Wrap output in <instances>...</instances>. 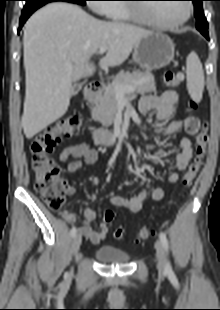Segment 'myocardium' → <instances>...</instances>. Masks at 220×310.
Masks as SVG:
<instances>
[{"label": "myocardium", "instance_id": "myocardium-1", "mask_svg": "<svg viewBox=\"0 0 220 310\" xmlns=\"http://www.w3.org/2000/svg\"><path fill=\"white\" fill-rule=\"evenodd\" d=\"M186 6V13L185 15L178 21L176 22H172V23H168V22H163L157 18H155L154 16H152L150 14V12H148L147 10H143L139 7L136 6H131L129 7L133 17L141 22H144L148 25H151L155 28H159V29H174L177 27L182 26L183 24H185L189 18L191 17L192 14V6L191 4H189V2L185 3ZM143 14H145L146 16L143 17Z\"/></svg>", "mask_w": 220, "mask_h": 310}]
</instances>
